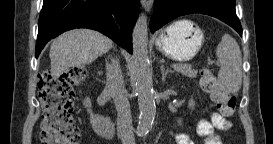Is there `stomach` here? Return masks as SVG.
Wrapping results in <instances>:
<instances>
[{
  "instance_id": "obj_1",
  "label": "stomach",
  "mask_w": 273,
  "mask_h": 144,
  "mask_svg": "<svg viewBox=\"0 0 273 144\" xmlns=\"http://www.w3.org/2000/svg\"><path fill=\"white\" fill-rule=\"evenodd\" d=\"M203 31L189 20H180L164 29L156 39L157 49L175 61H189L201 49Z\"/></svg>"
}]
</instances>
